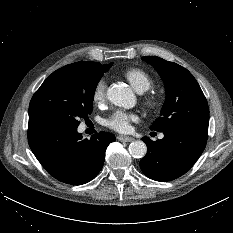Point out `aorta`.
<instances>
[{"instance_id": "1", "label": "aorta", "mask_w": 233, "mask_h": 233, "mask_svg": "<svg viewBox=\"0 0 233 233\" xmlns=\"http://www.w3.org/2000/svg\"><path fill=\"white\" fill-rule=\"evenodd\" d=\"M107 99L114 105L124 108H132L136 104L133 91L123 84H115L107 89ZM129 153L134 158H142L147 153L146 144L137 140L129 145Z\"/></svg>"}]
</instances>
